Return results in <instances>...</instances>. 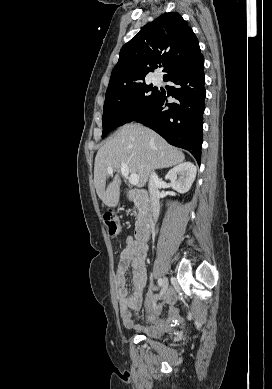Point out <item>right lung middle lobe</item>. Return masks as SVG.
Returning <instances> with one entry per match:
<instances>
[{
    "instance_id": "1",
    "label": "right lung middle lobe",
    "mask_w": 272,
    "mask_h": 389,
    "mask_svg": "<svg viewBox=\"0 0 272 389\" xmlns=\"http://www.w3.org/2000/svg\"><path fill=\"white\" fill-rule=\"evenodd\" d=\"M159 94L158 90L145 82L107 92L102 118V138L118 126L133 121Z\"/></svg>"
}]
</instances>
